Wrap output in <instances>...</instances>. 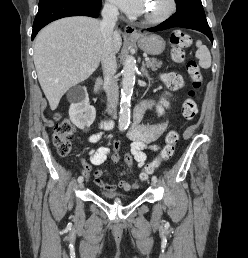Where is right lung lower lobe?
I'll use <instances>...</instances> for the list:
<instances>
[{"instance_id": "98d812e1", "label": "right lung lower lobe", "mask_w": 248, "mask_h": 258, "mask_svg": "<svg viewBox=\"0 0 248 258\" xmlns=\"http://www.w3.org/2000/svg\"><path fill=\"white\" fill-rule=\"evenodd\" d=\"M101 0H46L39 3V10L33 23L32 40L48 23L68 16H90L97 18Z\"/></svg>"}]
</instances>
